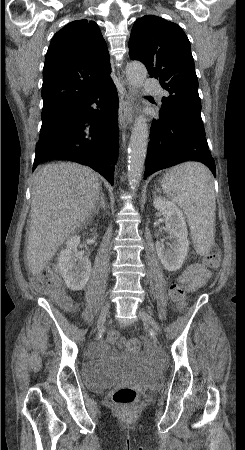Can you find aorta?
I'll return each mask as SVG.
<instances>
[{
	"label": "aorta",
	"mask_w": 245,
	"mask_h": 450,
	"mask_svg": "<svg viewBox=\"0 0 245 450\" xmlns=\"http://www.w3.org/2000/svg\"><path fill=\"white\" fill-rule=\"evenodd\" d=\"M126 77L131 85L139 88L143 85L147 77V69L140 62H130L126 66ZM148 137L147 120L144 116L140 115L135 121L128 146V181L132 190H135L139 186L141 180L147 155Z\"/></svg>",
	"instance_id": "aorta-1"
}]
</instances>
